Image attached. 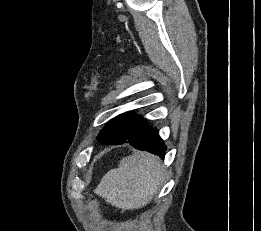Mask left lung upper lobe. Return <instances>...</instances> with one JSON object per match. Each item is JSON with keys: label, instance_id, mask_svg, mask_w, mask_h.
Listing matches in <instances>:
<instances>
[{"label": "left lung upper lobe", "instance_id": "1", "mask_svg": "<svg viewBox=\"0 0 261 231\" xmlns=\"http://www.w3.org/2000/svg\"><path fill=\"white\" fill-rule=\"evenodd\" d=\"M151 129L152 126L137 114L125 113L110 120L106 127L100 131L97 139L105 144L123 138L142 139L149 134Z\"/></svg>", "mask_w": 261, "mask_h": 231}]
</instances>
